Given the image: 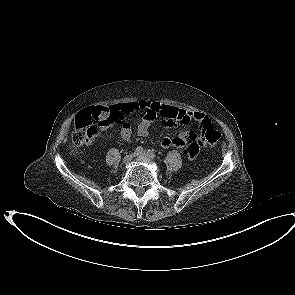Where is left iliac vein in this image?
<instances>
[{"label": "left iliac vein", "instance_id": "4c4485c4", "mask_svg": "<svg viewBox=\"0 0 295 295\" xmlns=\"http://www.w3.org/2000/svg\"><path fill=\"white\" fill-rule=\"evenodd\" d=\"M137 157L139 160H142V161H151V157L145 152L142 154H139Z\"/></svg>", "mask_w": 295, "mask_h": 295}]
</instances>
